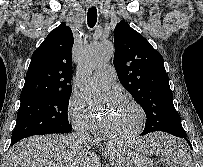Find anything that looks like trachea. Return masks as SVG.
<instances>
[{"label":"trachea","mask_w":203,"mask_h":167,"mask_svg":"<svg viewBox=\"0 0 203 167\" xmlns=\"http://www.w3.org/2000/svg\"><path fill=\"white\" fill-rule=\"evenodd\" d=\"M97 22V9L95 7L89 8L87 13V23L90 28H93Z\"/></svg>","instance_id":"trachea-1"}]
</instances>
